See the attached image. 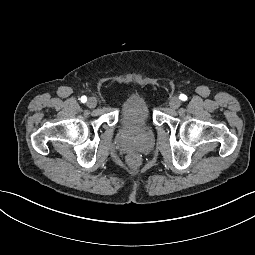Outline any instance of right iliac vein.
Masks as SVG:
<instances>
[{
	"mask_svg": "<svg viewBox=\"0 0 255 255\" xmlns=\"http://www.w3.org/2000/svg\"><path fill=\"white\" fill-rule=\"evenodd\" d=\"M97 105V100L94 97H90L87 102L89 108H94Z\"/></svg>",
	"mask_w": 255,
	"mask_h": 255,
	"instance_id": "obj_1",
	"label": "right iliac vein"
}]
</instances>
